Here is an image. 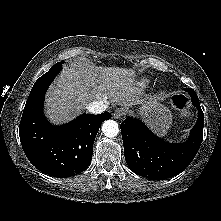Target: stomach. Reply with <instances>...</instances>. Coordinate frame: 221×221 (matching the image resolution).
<instances>
[{
  "instance_id": "0dacf381",
  "label": "stomach",
  "mask_w": 221,
  "mask_h": 221,
  "mask_svg": "<svg viewBox=\"0 0 221 221\" xmlns=\"http://www.w3.org/2000/svg\"><path fill=\"white\" fill-rule=\"evenodd\" d=\"M139 114L146 124L159 136H164L172 124L170 110L157 101V99L145 102L139 110Z\"/></svg>"
}]
</instances>
